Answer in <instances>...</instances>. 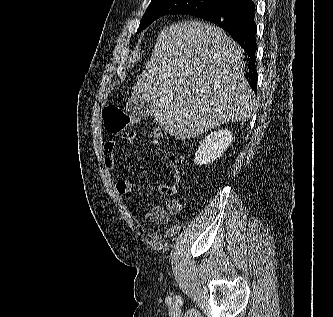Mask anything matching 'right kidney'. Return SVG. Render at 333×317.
I'll list each match as a JSON object with an SVG mask.
<instances>
[{"label": "right kidney", "instance_id": "right-kidney-1", "mask_svg": "<svg viewBox=\"0 0 333 317\" xmlns=\"http://www.w3.org/2000/svg\"><path fill=\"white\" fill-rule=\"evenodd\" d=\"M233 140L228 129L214 131L208 134L195 153V164L207 165L219 158Z\"/></svg>", "mask_w": 333, "mask_h": 317}]
</instances>
